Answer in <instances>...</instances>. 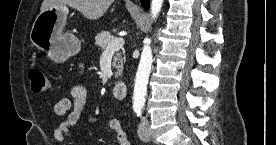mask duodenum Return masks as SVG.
<instances>
[{"instance_id":"410a0bca","label":"duodenum","mask_w":276,"mask_h":145,"mask_svg":"<svg viewBox=\"0 0 276 145\" xmlns=\"http://www.w3.org/2000/svg\"><path fill=\"white\" fill-rule=\"evenodd\" d=\"M113 95L116 99H124L127 95V84L123 81L116 82L113 86Z\"/></svg>"}]
</instances>
